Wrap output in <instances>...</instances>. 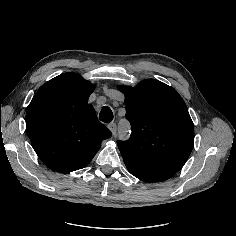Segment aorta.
<instances>
[{"mask_svg": "<svg viewBox=\"0 0 236 236\" xmlns=\"http://www.w3.org/2000/svg\"><path fill=\"white\" fill-rule=\"evenodd\" d=\"M120 134L122 136L127 135V125H125L123 122L120 124Z\"/></svg>", "mask_w": 236, "mask_h": 236, "instance_id": "762f6f07", "label": "aorta"}]
</instances>
